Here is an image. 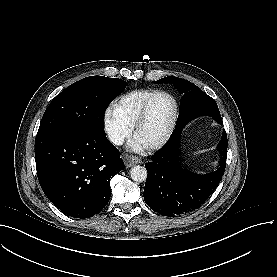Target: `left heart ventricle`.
Returning <instances> with one entry per match:
<instances>
[{"label":"left heart ventricle","mask_w":277,"mask_h":277,"mask_svg":"<svg viewBox=\"0 0 277 277\" xmlns=\"http://www.w3.org/2000/svg\"><path fill=\"white\" fill-rule=\"evenodd\" d=\"M173 102L165 96H156L150 103L139 127L138 138L143 143H154L166 133L173 114Z\"/></svg>","instance_id":"left-heart-ventricle-1"}]
</instances>
